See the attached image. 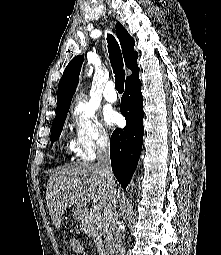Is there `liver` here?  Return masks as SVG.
<instances>
[{
  "label": "liver",
  "mask_w": 221,
  "mask_h": 255,
  "mask_svg": "<svg viewBox=\"0 0 221 255\" xmlns=\"http://www.w3.org/2000/svg\"><path fill=\"white\" fill-rule=\"evenodd\" d=\"M116 183L105 177L97 164L79 163L60 168L49 177L46 202L52 222L59 228L62 216L72 206L85 209L91 200L106 207Z\"/></svg>",
  "instance_id": "liver-1"
}]
</instances>
